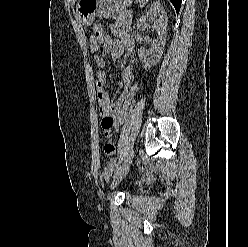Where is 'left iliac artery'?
<instances>
[{"label":"left iliac artery","instance_id":"44dca946","mask_svg":"<svg viewBox=\"0 0 248 247\" xmlns=\"http://www.w3.org/2000/svg\"><path fill=\"white\" fill-rule=\"evenodd\" d=\"M120 164H121V161L119 160L118 163L116 164V173H117L118 170L120 169Z\"/></svg>","mask_w":248,"mask_h":247}]
</instances>
